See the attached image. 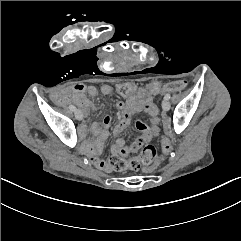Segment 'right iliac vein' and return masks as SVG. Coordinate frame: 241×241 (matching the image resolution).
Masks as SVG:
<instances>
[{
  "label": "right iliac vein",
  "instance_id": "1",
  "mask_svg": "<svg viewBox=\"0 0 241 241\" xmlns=\"http://www.w3.org/2000/svg\"><path fill=\"white\" fill-rule=\"evenodd\" d=\"M75 118L79 121L83 119V113L80 109L75 110Z\"/></svg>",
  "mask_w": 241,
  "mask_h": 241
}]
</instances>
